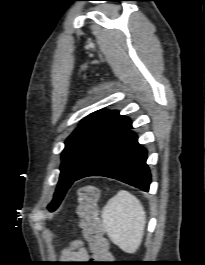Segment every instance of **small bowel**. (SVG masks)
Returning a JSON list of instances; mask_svg holds the SVG:
<instances>
[{
    "instance_id": "1",
    "label": "small bowel",
    "mask_w": 205,
    "mask_h": 265,
    "mask_svg": "<svg viewBox=\"0 0 205 265\" xmlns=\"http://www.w3.org/2000/svg\"><path fill=\"white\" fill-rule=\"evenodd\" d=\"M63 259L75 261V263H84L89 259V254L79 241H75L69 248L64 250Z\"/></svg>"
}]
</instances>
